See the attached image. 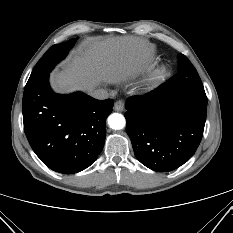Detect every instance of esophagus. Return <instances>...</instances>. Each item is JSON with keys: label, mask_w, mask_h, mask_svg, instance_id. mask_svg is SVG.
<instances>
[{"label": "esophagus", "mask_w": 233, "mask_h": 233, "mask_svg": "<svg viewBox=\"0 0 233 233\" xmlns=\"http://www.w3.org/2000/svg\"><path fill=\"white\" fill-rule=\"evenodd\" d=\"M124 101L123 100H118L115 102L114 104V110L117 111V112H121L124 110Z\"/></svg>", "instance_id": "1"}]
</instances>
